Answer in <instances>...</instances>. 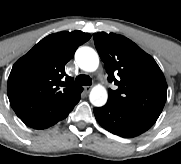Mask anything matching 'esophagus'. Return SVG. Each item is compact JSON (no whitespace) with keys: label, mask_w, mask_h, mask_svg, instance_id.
<instances>
[{"label":"esophagus","mask_w":181,"mask_h":164,"mask_svg":"<svg viewBox=\"0 0 181 164\" xmlns=\"http://www.w3.org/2000/svg\"><path fill=\"white\" fill-rule=\"evenodd\" d=\"M84 90L88 93L91 90V86H84Z\"/></svg>","instance_id":"obj_1"}]
</instances>
